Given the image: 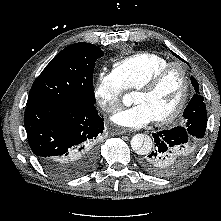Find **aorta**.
<instances>
[{
  "label": "aorta",
  "instance_id": "obj_1",
  "mask_svg": "<svg viewBox=\"0 0 221 221\" xmlns=\"http://www.w3.org/2000/svg\"><path fill=\"white\" fill-rule=\"evenodd\" d=\"M131 147L138 154L145 155L152 149V139L144 134H136L131 139Z\"/></svg>",
  "mask_w": 221,
  "mask_h": 221
}]
</instances>
